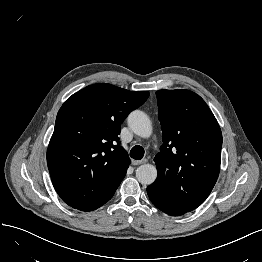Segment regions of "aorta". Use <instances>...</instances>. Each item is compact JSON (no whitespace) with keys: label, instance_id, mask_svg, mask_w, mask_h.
<instances>
[{"label":"aorta","instance_id":"obj_1","mask_svg":"<svg viewBox=\"0 0 262 262\" xmlns=\"http://www.w3.org/2000/svg\"><path fill=\"white\" fill-rule=\"evenodd\" d=\"M130 129L142 138H148L152 133L149 117L140 110L132 111L128 116ZM136 178L143 185L152 184L157 178V169L152 164H143L136 170Z\"/></svg>","mask_w":262,"mask_h":262}]
</instances>
